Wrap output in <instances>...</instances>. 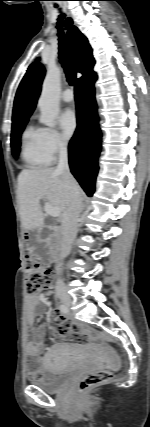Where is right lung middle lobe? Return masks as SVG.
Segmentation results:
<instances>
[{
	"instance_id": "1",
	"label": "right lung middle lobe",
	"mask_w": 150,
	"mask_h": 427,
	"mask_svg": "<svg viewBox=\"0 0 150 427\" xmlns=\"http://www.w3.org/2000/svg\"><path fill=\"white\" fill-rule=\"evenodd\" d=\"M27 121L28 119H24L12 124L11 148H12V153L15 157L18 156V153L20 151V137H21L22 131L25 128Z\"/></svg>"
}]
</instances>
